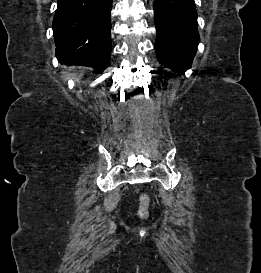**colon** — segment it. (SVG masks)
<instances>
[{
  "label": "colon",
  "mask_w": 261,
  "mask_h": 273,
  "mask_svg": "<svg viewBox=\"0 0 261 273\" xmlns=\"http://www.w3.org/2000/svg\"><path fill=\"white\" fill-rule=\"evenodd\" d=\"M150 197L142 194L139 197L138 215L141 218H146L149 214Z\"/></svg>",
  "instance_id": "1"
}]
</instances>
